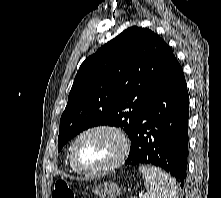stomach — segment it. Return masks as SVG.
Instances as JSON below:
<instances>
[{"label": "stomach", "instance_id": "0dacf381", "mask_svg": "<svg viewBox=\"0 0 221 198\" xmlns=\"http://www.w3.org/2000/svg\"><path fill=\"white\" fill-rule=\"evenodd\" d=\"M93 192L100 198H117L121 193V188L116 183L108 181L96 186Z\"/></svg>", "mask_w": 221, "mask_h": 198}]
</instances>
